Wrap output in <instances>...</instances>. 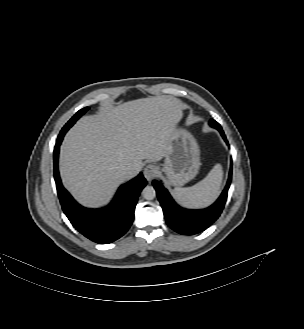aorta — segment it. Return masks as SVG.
I'll return each instance as SVG.
<instances>
[{"mask_svg":"<svg viewBox=\"0 0 304 329\" xmlns=\"http://www.w3.org/2000/svg\"><path fill=\"white\" fill-rule=\"evenodd\" d=\"M142 196L146 200H153L156 196V191L152 186H146L142 190Z\"/></svg>","mask_w":304,"mask_h":329,"instance_id":"aorta-1","label":"aorta"}]
</instances>
